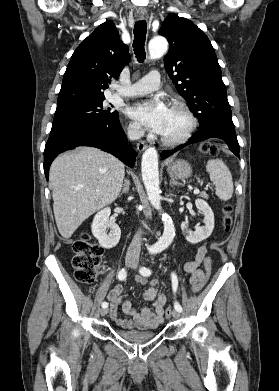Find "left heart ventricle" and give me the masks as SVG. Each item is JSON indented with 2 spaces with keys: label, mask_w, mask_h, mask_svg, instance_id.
Masks as SVG:
<instances>
[{
  "label": "left heart ventricle",
  "mask_w": 279,
  "mask_h": 391,
  "mask_svg": "<svg viewBox=\"0 0 279 391\" xmlns=\"http://www.w3.org/2000/svg\"><path fill=\"white\" fill-rule=\"evenodd\" d=\"M188 127V119L183 112L169 108L161 135L168 138L180 136Z\"/></svg>",
  "instance_id": "obj_1"
}]
</instances>
